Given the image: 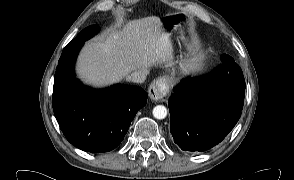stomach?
I'll return each mask as SVG.
<instances>
[{
	"instance_id": "stomach-1",
	"label": "stomach",
	"mask_w": 294,
	"mask_h": 180,
	"mask_svg": "<svg viewBox=\"0 0 294 180\" xmlns=\"http://www.w3.org/2000/svg\"><path fill=\"white\" fill-rule=\"evenodd\" d=\"M160 22L166 33L171 34L174 31L180 30V38L186 40L185 34L188 32V17L184 13H168L160 18ZM179 66L183 74L195 73L198 70L195 57L182 60Z\"/></svg>"
}]
</instances>
